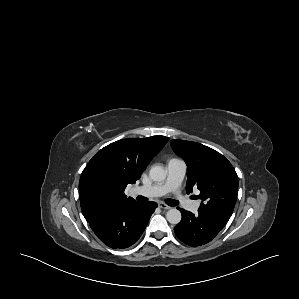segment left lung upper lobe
Segmentation results:
<instances>
[{"instance_id": "left-lung-upper-lobe-1", "label": "left lung upper lobe", "mask_w": 299, "mask_h": 299, "mask_svg": "<svg viewBox=\"0 0 299 299\" xmlns=\"http://www.w3.org/2000/svg\"><path fill=\"white\" fill-rule=\"evenodd\" d=\"M173 150L187 165L186 192L200 190L198 211L226 225L232 215L238 194V176L231 163L219 152L202 144L172 140Z\"/></svg>"}]
</instances>
